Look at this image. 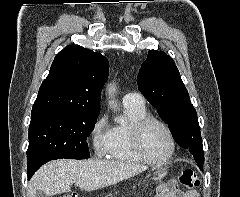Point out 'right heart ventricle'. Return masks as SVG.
<instances>
[{
    "label": "right heart ventricle",
    "instance_id": "1",
    "mask_svg": "<svg viewBox=\"0 0 240 197\" xmlns=\"http://www.w3.org/2000/svg\"><path fill=\"white\" fill-rule=\"evenodd\" d=\"M128 118L127 124H116L110 128V143L107 157L125 163H142L143 160L136 154L131 144V125L147 116L144 107L124 106Z\"/></svg>",
    "mask_w": 240,
    "mask_h": 197
}]
</instances>
